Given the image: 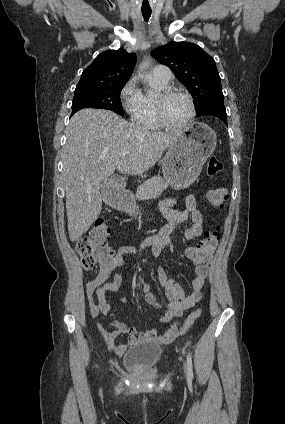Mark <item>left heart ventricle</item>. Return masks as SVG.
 I'll return each instance as SVG.
<instances>
[{"instance_id": "1", "label": "left heart ventricle", "mask_w": 285, "mask_h": 424, "mask_svg": "<svg viewBox=\"0 0 285 424\" xmlns=\"http://www.w3.org/2000/svg\"><path fill=\"white\" fill-rule=\"evenodd\" d=\"M164 113L170 123L181 124L189 116L190 106L185 97L175 95L166 100Z\"/></svg>"}]
</instances>
